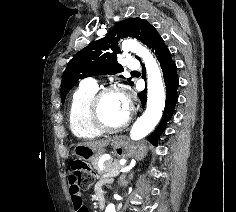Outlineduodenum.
<instances>
[{
  "label": "duodenum",
  "instance_id": "1",
  "mask_svg": "<svg viewBox=\"0 0 236 212\" xmlns=\"http://www.w3.org/2000/svg\"><path fill=\"white\" fill-rule=\"evenodd\" d=\"M96 202H97L98 208L100 210H102L105 206V203H106V195L103 191H101V190L97 191Z\"/></svg>",
  "mask_w": 236,
  "mask_h": 212
}]
</instances>
